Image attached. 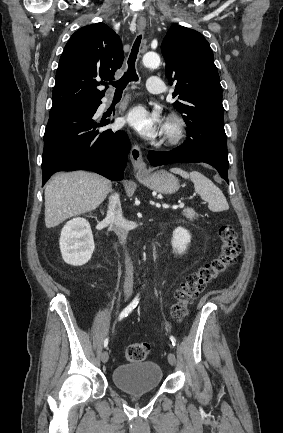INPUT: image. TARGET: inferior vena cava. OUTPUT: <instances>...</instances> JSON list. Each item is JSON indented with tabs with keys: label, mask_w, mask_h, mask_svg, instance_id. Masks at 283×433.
<instances>
[{
	"label": "inferior vena cava",
	"mask_w": 283,
	"mask_h": 433,
	"mask_svg": "<svg viewBox=\"0 0 283 433\" xmlns=\"http://www.w3.org/2000/svg\"><path fill=\"white\" fill-rule=\"evenodd\" d=\"M106 219L110 221L111 225H114L115 233L121 245H126L128 229H125V227H123L124 219L122 217L121 202H120L119 194H117V192H115V194H112V196H110L109 208H108ZM125 255H126V259H125L126 277H125L123 289L126 295H131V293H133V267H132L131 259L127 255V251Z\"/></svg>",
	"instance_id": "1"
}]
</instances>
